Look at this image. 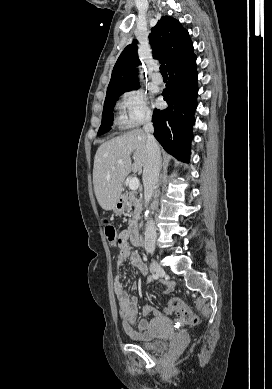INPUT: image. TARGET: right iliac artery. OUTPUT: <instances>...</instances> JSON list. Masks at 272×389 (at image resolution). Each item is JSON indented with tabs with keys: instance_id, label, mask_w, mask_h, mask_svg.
I'll return each mask as SVG.
<instances>
[{
	"instance_id": "obj_1",
	"label": "right iliac artery",
	"mask_w": 272,
	"mask_h": 389,
	"mask_svg": "<svg viewBox=\"0 0 272 389\" xmlns=\"http://www.w3.org/2000/svg\"><path fill=\"white\" fill-rule=\"evenodd\" d=\"M154 279H158V275L152 274V275L148 278L149 281L154 280Z\"/></svg>"
}]
</instances>
